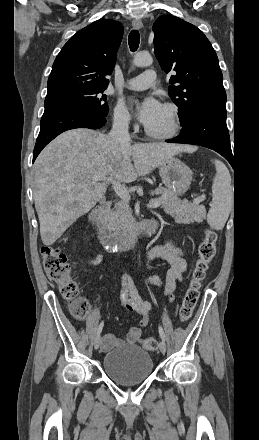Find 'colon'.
Returning <instances> with one entry per match:
<instances>
[{
    "mask_svg": "<svg viewBox=\"0 0 259 440\" xmlns=\"http://www.w3.org/2000/svg\"><path fill=\"white\" fill-rule=\"evenodd\" d=\"M216 242L217 234L212 229H206L204 238L199 245L198 259L189 286L179 309L181 322L188 321L193 314L200 296L201 282L216 254ZM41 254L44 270L48 278L58 285L62 297L69 302L71 315L77 320H83L89 312V303L79 297L78 283L71 276V268L66 255L60 249L51 246H43ZM140 342L146 350L153 351L157 348V341L152 337L142 338Z\"/></svg>",
    "mask_w": 259,
    "mask_h": 440,
    "instance_id": "1",
    "label": "colon"
}]
</instances>
